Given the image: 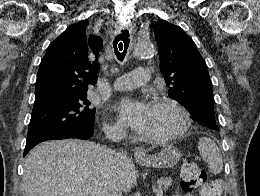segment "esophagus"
Here are the masks:
<instances>
[{
	"mask_svg": "<svg viewBox=\"0 0 260 196\" xmlns=\"http://www.w3.org/2000/svg\"><path fill=\"white\" fill-rule=\"evenodd\" d=\"M134 156L136 159H146L147 158L146 152L141 148H136L134 150Z\"/></svg>",
	"mask_w": 260,
	"mask_h": 196,
	"instance_id": "34e87169",
	"label": "esophagus"
}]
</instances>
